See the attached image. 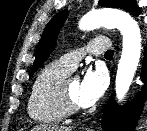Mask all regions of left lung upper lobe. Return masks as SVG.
I'll return each mask as SVG.
<instances>
[{"mask_svg": "<svg viewBox=\"0 0 147 131\" xmlns=\"http://www.w3.org/2000/svg\"><path fill=\"white\" fill-rule=\"evenodd\" d=\"M99 5L102 7L121 8L135 16H137L140 12L135 0H100ZM67 16V10L59 12L51 19L45 28L38 45L36 58L32 66L30 76L45 62L55 48L57 35Z\"/></svg>", "mask_w": 147, "mask_h": 131, "instance_id": "left-lung-upper-lobe-1", "label": "left lung upper lobe"}]
</instances>
